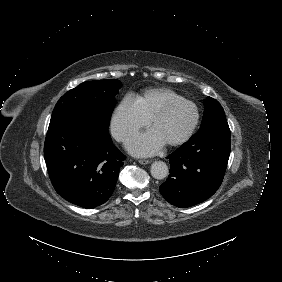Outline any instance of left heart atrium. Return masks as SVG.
Here are the masks:
<instances>
[{
	"label": "left heart atrium",
	"mask_w": 282,
	"mask_h": 282,
	"mask_svg": "<svg viewBox=\"0 0 282 282\" xmlns=\"http://www.w3.org/2000/svg\"><path fill=\"white\" fill-rule=\"evenodd\" d=\"M165 143L159 132L153 128L146 133L133 137L128 142L130 151L137 155H150L157 152Z\"/></svg>",
	"instance_id": "left-heart-atrium-1"
}]
</instances>
